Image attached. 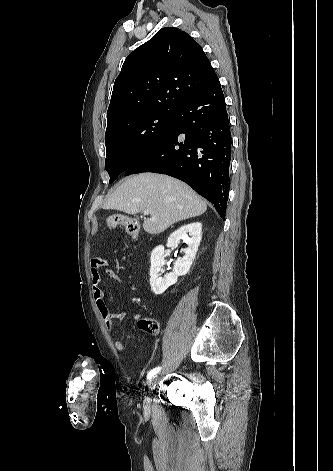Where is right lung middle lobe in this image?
Masks as SVG:
<instances>
[{"label": "right lung middle lobe", "mask_w": 333, "mask_h": 471, "mask_svg": "<svg viewBox=\"0 0 333 471\" xmlns=\"http://www.w3.org/2000/svg\"><path fill=\"white\" fill-rule=\"evenodd\" d=\"M175 112L144 111L110 124L105 133V169L112 183L174 122Z\"/></svg>", "instance_id": "1"}]
</instances>
